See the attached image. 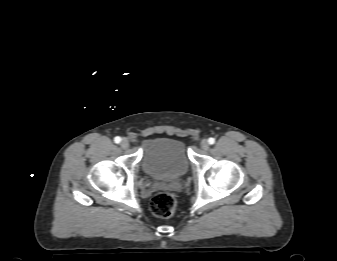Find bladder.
I'll list each match as a JSON object with an SVG mask.
<instances>
[{
	"mask_svg": "<svg viewBox=\"0 0 337 261\" xmlns=\"http://www.w3.org/2000/svg\"><path fill=\"white\" fill-rule=\"evenodd\" d=\"M144 172L157 180H176L189 169V159L182 141L170 137H152L142 145Z\"/></svg>",
	"mask_w": 337,
	"mask_h": 261,
	"instance_id": "obj_1",
	"label": "bladder"
}]
</instances>
